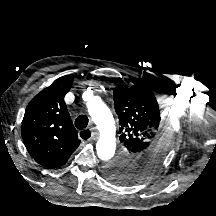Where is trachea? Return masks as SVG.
Returning a JSON list of instances; mask_svg holds the SVG:
<instances>
[{
    "label": "trachea",
    "instance_id": "trachea-1",
    "mask_svg": "<svg viewBox=\"0 0 216 216\" xmlns=\"http://www.w3.org/2000/svg\"><path fill=\"white\" fill-rule=\"evenodd\" d=\"M89 119L86 115H80L75 120V126L78 129H84L87 127ZM90 137V133H84L81 135V138L87 140Z\"/></svg>",
    "mask_w": 216,
    "mask_h": 216
}]
</instances>
